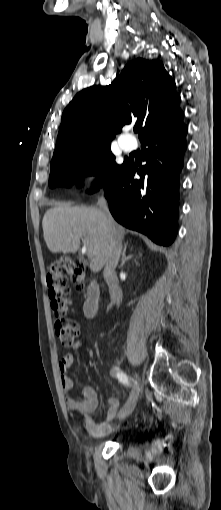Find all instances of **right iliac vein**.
<instances>
[{"mask_svg":"<svg viewBox=\"0 0 221 510\" xmlns=\"http://www.w3.org/2000/svg\"><path fill=\"white\" fill-rule=\"evenodd\" d=\"M135 377H136V379H139L137 374H135ZM138 396H139L138 390H134L132 392L130 398L128 399L127 403L125 404V406L119 412V414H118L119 419H124V418L128 417L133 412L134 407L137 402V399H138Z\"/></svg>","mask_w":221,"mask_h":510,"instance_id":"1","label":"right iliac vein"}]
</instances>
